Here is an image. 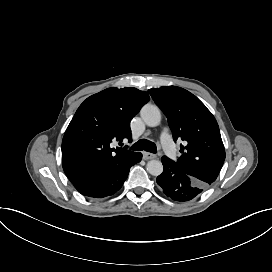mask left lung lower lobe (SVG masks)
I'll list each match as a JSON object with an SVG mask.
<instances>
[{
  "label": "left lung lower lobe",
  "instance_id": "obj_1",
  "mask_svg": "<svg viewBox=\"0 0 272 272\" xmlns=\"http://www.w3.org/2000/svg\"><path fill=\"white\" fill-rule=\"evenodd\" d=\"M163 173L156 179L157 184L174 201L192 200L208 187L193 177L182 172L170 159L163 156Z\"/></svg>",
  "mask_w": 272,
  "mask_h": 272
}]
</instances>
